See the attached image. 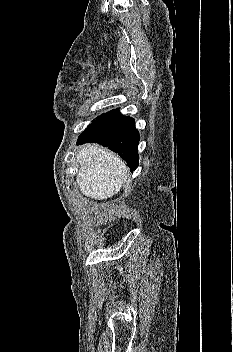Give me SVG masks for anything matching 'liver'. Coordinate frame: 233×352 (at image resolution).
Instances as JSON below:
<instances>
[{
	"label": "liver",
	"mask_w": 233,
	"mask_h": 352,
	"mask_svg": "<svg viewBox=\"0 0 233 352\" xmlns=\"http://www.w3.org/2000/svg\"><path fill=\"white\" fill-rule=\"evenodd\" d=\"M77 161L80 169L76 182L80 191L92 199L111 198L128 177L126 163L99 145H84L77 154Z\"/></svg>",
	"instance_id": "liver-1"
}]
</instances>
